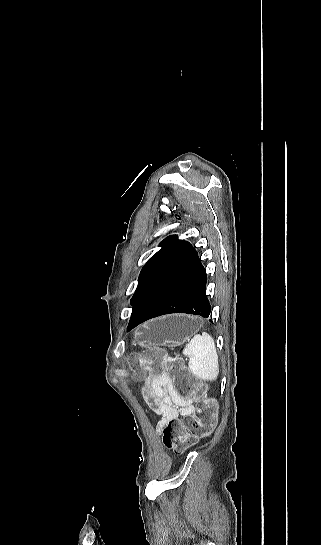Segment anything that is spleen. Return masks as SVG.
Returning a JSON list of instances; mask_svg holds the SVG:
<instances>
[{"label": "spleen", "instance_id": "3e777b00", "mask_svg": "<svg viewBox=\"0 0 321 545\" xmlns=\"http://www.w3.org/2000/svg\"><path fill=\"white\" fill-rule=\"evenodd\" d=\"M183 355L189 357L190 373L201 381H215L219 375L218 355L214 339L208 333L195 335L185 349Z\"/></svg>", "mask_w": 321, "mask_h": 545}]
</instances>
